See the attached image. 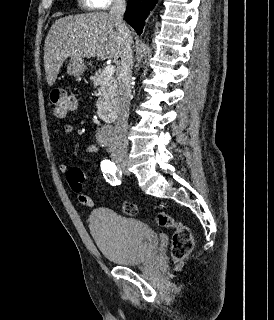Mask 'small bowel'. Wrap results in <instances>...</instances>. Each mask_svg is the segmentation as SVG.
Masks as SVG:
<instances>
[{
	"mask_svg": "<svg viewBox=\"0 0 274 320\" xmlns=\"http://www.w3.org/2000/svg\"><path fill=\"white\" fill-rule=\"evenodd\" d=\"M75 107L76 106L74 104V108ZM73 131H74V125L72 123H65L63 125V133L65 135H71L73 133ZM98 149H99V147L97 145H89L86 147L85 152L86 153H94V152H97ZM58 169L61 173H67V171L69 170L68 166L65 163L60 164ZM78 201L85 206H88V207L93 206L92 199L86 195H79Z\"/></svg>",
	"mask_w": 274,
	"mask_h": 320,
	"instance_id": "c3829d8e",
	"label": "small bowel"
}]
</instances>
